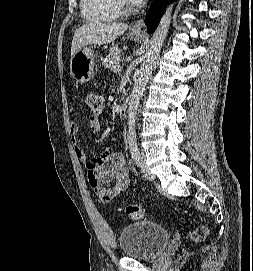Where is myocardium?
I'll return each instance as SVG.
<instances>
[{
    "mask_svg": "<svg viewBox=\"0 0 253 271\" xmlns=\"http://www.w3.org/2000/svg\"><path fill=\"white\" fill-rule=\"evenodd\" d=\"M122 14H130L137 10V4L130 0H116Z\"/></svg>",
    "mask_w": 253,
    "mask_h": 271,
    "instance_id": "1",
    "label": "myocardium"
}]
</instances>
